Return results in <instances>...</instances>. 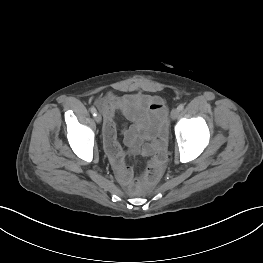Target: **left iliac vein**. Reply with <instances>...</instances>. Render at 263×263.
<instances>
[{"mask_svg":"<svg viewBox=\"0 0 263 263\" xmlns=\"http://www.w3.org/2000/svg\"><path fill=\"white\" fill-rule=\"evenodd\" d=\"M179 109L178 108H174L172 111H171V119L172 120H175L177 119V117L179 116Z\"/></svg>","mask_w":263,"mask_h":263,"instance_id":"4c4485c4","label":"left iliac vein"}]
</instances>
